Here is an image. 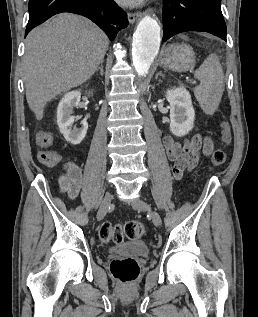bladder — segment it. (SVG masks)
Segmentation results:
<instances>
[{
    "label": "bladder",
    "mask_w": 258,
    "mask_h": 317,
    "mask_svg": "<svg viewBox=\"0 0 258 317\" xmlns=\"http://www.w3.org/2000/svg\"><path fill=\"white\" fill-rule=\"evenodd\" d=\"M109 252L119 257L144 258L149 254V247L144 241L136 240L113 246Z\"/></svg>",
    "instance_id": "bladder-1"
}]
</instances>
